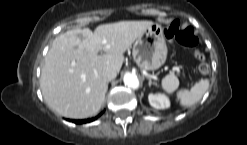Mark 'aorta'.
Wrapping results in <instances>:
<instances>
[{
    "label": "aorta",
    "mask_w": 247,
    "mask_h": 145,
    "mask_svg": "<svg viewBox=\"0 0 247 145\" xmlns=\"http://www.w3.org/2000/svg\"><path fill=\"white\" fill-rule=\"evenodd\" d=\"M124 84L130 88L137 89L139 87V80L136 75L126 73L123 78Z\"/></svg>",
    "instance_id": "obj_1"
}]
</instances>
